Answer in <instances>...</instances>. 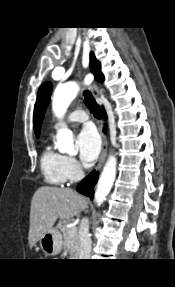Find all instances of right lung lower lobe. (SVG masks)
I'll return each instance as SVG.
<instances>
[{
  "label": "right lung lower lobe",
  "mask_w": 175,
  "mask_h": 287,
  "mask_svg": "<svg viewBox=\"0 0 175 287\" xmlns=\"http://www.w3.org/2000/svg\"><path fill=\"white\" fill-rule=\"evenodd\" d=\"M104 119H106V113L103 112ZM98 179V174L93 171L91 172L85 179L82 180V182L77 186V191L81 194L90 197V199H93L94 195V185L96 184Z\"/></svg>",
  "instance_id": "obj_1"
}]
</instances>
